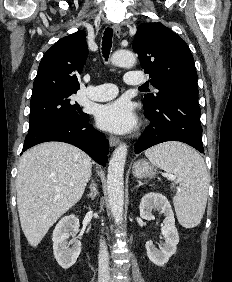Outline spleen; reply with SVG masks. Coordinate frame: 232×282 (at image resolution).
I'll return each instance as SVG.
<instances>
[{"instance_id": "obj_1", "label": "spleen", "mask_w": 232, "mask_h": 282, "mask_svg": "<svg viewBox=\"0 0 232 282\" xmlns=\"http://www.w3.org/2000/svg\"><path fill=\"white\" fill-rule=\"evenodd\" d=\"M145 155L152 164L178 178L179 189L173 198L177 219L183 227H196L205 212L208 195V171L203 158L177 142L157 145L146 150Z\"/></svg>"}]
</instances>
